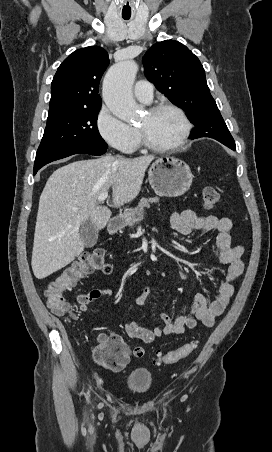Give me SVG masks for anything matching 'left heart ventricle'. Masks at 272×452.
Here are the masks:
<instances>
[{
    "label": "left heart ventricle",
    "mask_w": 272,
    "mask_h": 452,
    "mask_svg": "<svg viewBox=\"0 0 272 452\" xmlns=\"http://www.w3.org/2000/svg\"><path fill=\"white\" fill-rule=\"evenodd\" d=\"M147 138L157 145H168L177 140L182 130L180 118L171 111L163 110L146 114L139 122Z\"/></svg>",
    "instance_id": "b2bd125f"
}]
</instances>
